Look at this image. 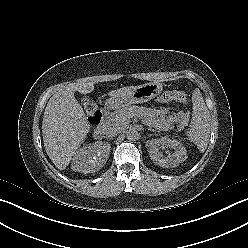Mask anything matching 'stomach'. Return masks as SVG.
Returning <instances> with one entry per match:
<instances>
[{
	"label": "stomach",
	"instance_id": "0dacf381",
	"mask_svg": "<svg viewBox=\"0 0 248 248\" xmlns=\"http://www.w3.org/2000/svg\"><path fill=\"white\" fill-rule=\"evenodd\" d=\"M162 89L163 86L160 82L145 83L123 95L110 97L106 101V105L111 109H119L131 104L144 103L159 95Z\"/></svg>",
	"mask_w": 248,
	"mask_h": 248
}]
</instances>
